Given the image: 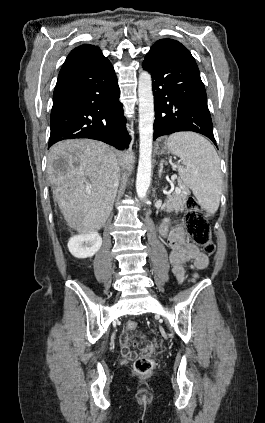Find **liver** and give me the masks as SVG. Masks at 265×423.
<instances>
[{
    "instance_id": "liver-1",
    "label": "liver",
    "mask_w": 265,
    "mask_h": 423,
    "mask_svg": "<svg viewBox=\"0 0 265 423\" xmlns=\"http://www.w3.org/2000/svg\"><path fill=\"white\" fill-rule=\"evenodd\" d=\"M59 159L63 164L57 163ZM120 154L107 144L90 139H70L53 145L47 172L53 197L69 227L80 234L102 228L117 194Z\"/></svg>"
}]
</instances>
